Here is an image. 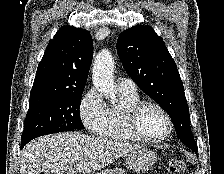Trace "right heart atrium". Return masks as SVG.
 Returning a JSON list of instances; mask_svg holds the SVG:
<instances>
[{
    "instance_id": "1",
    "label": "right heart atrium",
    "mask_w": 224,
    "mask_h": 174,
    "mask_svg": "<svg viewBox=\"0 0 224 174\" xmlns=\"http://www.w3.org/2000/svg\"><path fill=\"white\" fill-rule=\"evenodd\" d=\"M79 115L83 125L91 134L101 133L106 123L107 107L95 88L89 89L82 97Z\"/></svg>"
}]
</instances>
